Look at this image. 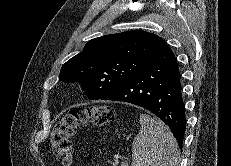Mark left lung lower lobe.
I'll return each instance as SVG.
<instances>
[{
	"label": "left lung lower lobe",
	"mask_w": 231,
	"mask_h": 166,
	"mask_svg": "<svg viewBox=\"0 0 231 166\" xmlns=\"http://www.w3.org/2000/svg\"><path fill=\"white\" fill-rule=\"evenodd\" d=\"M100 99L128 102L151 111L169 126L182 146L186 128L185 108L179 68L169 47Z\"/></svg>",
	"instance_id": "obj_1"
}]
</instances>
